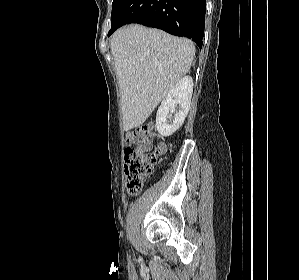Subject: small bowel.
<instances>
[{"instance_id":"1","label":"small bowel","mask_w":299,"mask_h":280,"mask_svg":"<svg viewBox=\"0 0 299 280\" xmlns=\"http://www.w3.org/2000/svg\"><path fill=\"white\" fill-rule=\"evenodd\" d=\"M159 149L161 151V154H163L166 151V146L162 144Z\"/></svg>"}]
</instances>
